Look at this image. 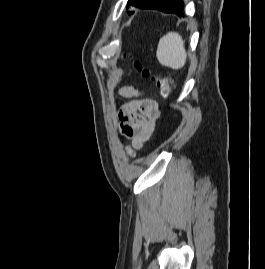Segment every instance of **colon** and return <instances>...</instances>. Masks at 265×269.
Wrapping results in <instances>:
<instances>
[{"label": "colon", "instance_id": "1", "mask_svg": "<svg viewBox=\"0 0 265 269\" xmlns=\"http://www.w3.org/2000/svg\"><path fill=\"white\" fill-rule=\"evenodd\" d=\"M135 67L139 72L142 73L144 77H151L152 81L156 83L162 97L166 98L170 95L172 92V86L170 80L167 77L152 75L150 71L143 68L139 62L135 64ZM123 132L126 134V136L131 137L134 130L132 127L124 125Z\"/></svg>", "mask_w": 265, "mask_h": 269}]
</instances>
